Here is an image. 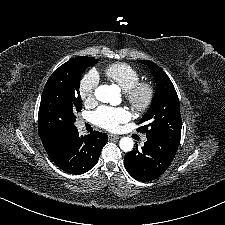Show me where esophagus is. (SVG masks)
<instances>
[{"instance_id": "obj_1", "label": "esophagus", "mask_w": 225, "mask_h": 225, "mask_svg": "<svg viewBox=\"0 0 225 225\" xmlns=\"http://www.w3.org/2000/svg\"><path fill=\"white\" fill-rule=\"evenodd\" d=\"M108 138H109V140H118L120 137L118 135L109 134Z\"/></svg>"}]
</instances>
